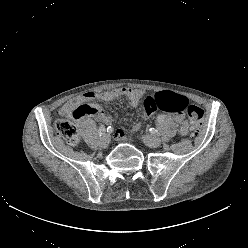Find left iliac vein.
Masks as SVG:
<instances>
[{
  "mask_svg": "<svg viewBox=\"0 0 248 248\" xmlns=\"http://www.w3.org/2000/svg\"><path fill=\"white\" fill-rule=\"evenodd\" d=\"M142 139L144 143L151 148H157L161 145L160 138L153 136V135L143 136Z\"/></svg>",
  "mask_w": 248,
  "mask_h": 248,
  "instance_id": "obj_1",
  "label": "left iliac vein"
}]
</instances>
